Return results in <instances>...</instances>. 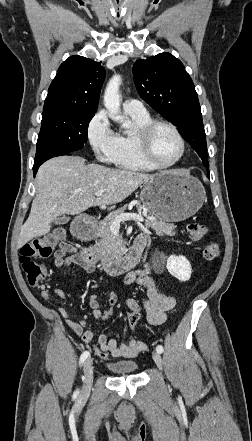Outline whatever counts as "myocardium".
Wrapping results in <instances>:
<instances>
[{"mask_svg": "<svg viewBox=\"0 0 252 441\" xmlns=\"http://www.w3.org/2000/svg\"><path fill=\"white\" fill-rule=\"evenodd\" d=\"M159 127L169 128L177 137L181 145L180 154L169 163L158 162L152 152L151 140L154 132ZM137 144L142 158L155 169H167L179 163L186 153V142L179 129L168 121L152 120L148 124L142 126L137 132Z\"/></svg>", "mask_w": 252, "mask_h": 441, "instance_id": "f54148a6", "label": "myocardium"}]
</instances>
